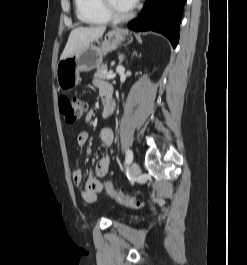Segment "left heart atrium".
Returning a JSON list of instances; mask_svg holds the SVG:
<instances>
[{"mask_svg": "<svg viewBox=\"0 0 247 265\" xmlns=\"http://www.w3.org/2000/svg\"><path fill=\"white\" fill-rule=\"evenodd\" d=\"M123 3H125L129 8H132L138 0H121Z\"/></svg>", "mask_w": 247, "mask_h": 265, "instance_id": "left-heart-atrium-1", "label": "left heart atrium"}]
</instances>
